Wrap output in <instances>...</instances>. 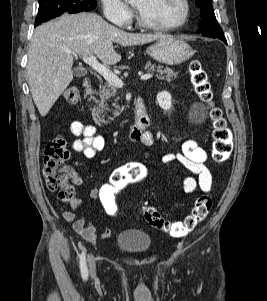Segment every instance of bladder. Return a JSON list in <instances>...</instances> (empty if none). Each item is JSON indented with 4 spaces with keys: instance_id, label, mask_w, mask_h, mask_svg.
I'll list each match as a JSON object with an SVG mask.
<instances>
[{
    "instance_id": "obj_1",
    "label": "bladder",
    "mask_w": 267,
    "mask_h": 301,
    "mask_svg": "<svg viewBox=\"0 0 267 301\" xmlns=\"http://www.w3.org/2000/svg\"><path fill=\"white\" fill-rule=\"evenodd\" d=\"M118 248L131 253L143 254L152 246V239L148 233L139 229H124L117 235Z\"/></svg>"
}]
</instances>
